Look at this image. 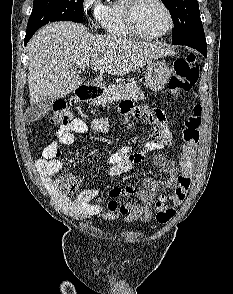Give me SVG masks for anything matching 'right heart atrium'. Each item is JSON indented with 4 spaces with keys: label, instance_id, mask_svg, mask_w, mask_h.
Segmentation results:
<instances>
[{
    "label": "right heart atrium",
    "instance_id": "d8ad5b80",
    "mask_svg": "<svg viewBox=\"0 0 233 294\" xmlns=\"http://www.w3.org/2000/svg\"><path fill=\"white\" fill-rule=\"evenodd\" d=\"M81 7L84 14L90 15L94 22L99 24V20L105 8L102 0H82Z\"/></svg>",
    "mask_w": 233,
    "mask_h": 294
}]
</instances>
